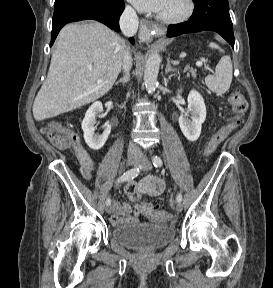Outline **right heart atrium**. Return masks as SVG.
Instances as JSON below:
<instances>
[{
    "label": "right heart atrium",
    "instance_id": "right-heart-atrium-1",
    "mask_svg": "<svg viewBox=\"0 0 273 288\" xmlns=\"http://www.w3.org/2000/svg\"><path fill=\"white\" fill-rule=\"evenodd\" d=\"M126 11H127L128 13H130V14H134V9L131 8L130 6H127V7H126Z\"/></svg>",
    "mask_w": 273,
    "mask_h": 288
}]
</instances>
